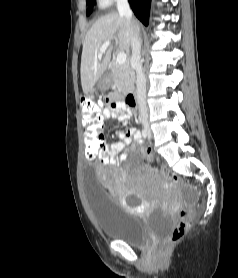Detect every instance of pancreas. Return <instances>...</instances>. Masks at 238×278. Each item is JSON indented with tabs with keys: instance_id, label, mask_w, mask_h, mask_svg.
<instances>
[{
	"instance_id": "1",
	"label": "pancreas",
	"mask_w": 238,
	"mask_h": 278,
	"mask_svg": "<svg viewBox=\"0 0 238 278\" xmlns=\"http://www.w3.org/2000/svg\"><path fill=\"white\" fill-rule=\"evenodd\" d=\"M111 71L114 79V84L121 93H128L133 90L135 82V74L129 64L113 63Z\"/></svg>"
}]
</instances>
